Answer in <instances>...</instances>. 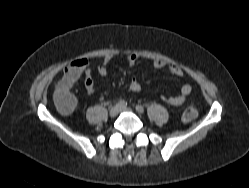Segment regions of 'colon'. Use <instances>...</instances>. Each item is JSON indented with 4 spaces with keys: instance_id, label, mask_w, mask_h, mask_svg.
<instances>
[{
    "instance_id": "obj_1",
    "label": "colon",
    "mask_w": 249,
    "mask_h": 188,
    "mask_svg": "<svg viewBox=\"0 0 249 188\" xmlns=\"http://www.w3.org/2000/svg\"><path fill=\"white\" fill-rule=\"evenodd\" d=\"M53 100L55 106L64 115H71L74 113L76 109V101L70 91L64 88H56ZM198 115V111L196 105L191 103L183 112L182 120L183 122H191L193 121Z\"/></svg>"
}]
</instances>
